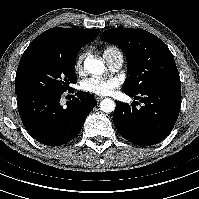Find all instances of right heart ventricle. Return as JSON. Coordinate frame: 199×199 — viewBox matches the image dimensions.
I'll list each match as a JSON object with an SVG mask.
<instances>
[{
  "mask_svg": "<svg viewBox=\"0 0 199 199\" xmlns=\"http://www.w3.org/2000/svg\"><path fill=\"white\" fill-rule=\"evenodd\" d=\"M116 52H120L117 48L115 47H106L104 50H103V56L104 58L106 59V61H108L111 56L116 53Z\"/></svg>",
  "mask_w": 199,
  "mask_h": 199,
  "instance_id": "obj_1",
  "label": "right heart ventricle"
}]
</instances>
